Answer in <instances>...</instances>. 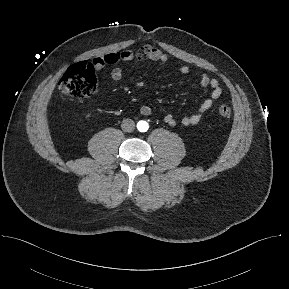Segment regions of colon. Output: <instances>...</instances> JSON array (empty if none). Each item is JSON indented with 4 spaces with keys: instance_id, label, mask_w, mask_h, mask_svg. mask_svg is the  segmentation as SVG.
<instances>
[{
    "instance_id": "5ec220e1",
    "label": "colon",
    "mask_w": 289,
    "mask_h": 289,
    "mask_svg": "<svg viewBox=\"0 0 289 289\" xmlns=\"http://www.w3.org/2000/svg\"><path fill=\"white\" fill-rule=\"evenodd\" d=\"M97 89V77L94 65L90 62H80L70 67L59 81V90L73 98H86ZM224 118L232 116V110L227 105L218 109Z\"/></svg>"
}]
</instances>
